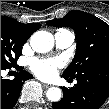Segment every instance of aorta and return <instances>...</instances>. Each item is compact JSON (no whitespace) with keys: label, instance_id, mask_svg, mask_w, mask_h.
Here are the masks:
<instances>
[{"label":"aorta","instance_id":"1","mask_svg":"<svg viewBox=\"0 0 109 109\" xmlns=\"http://www.w3.org/2000/svg\"><path fill=\"white\" fill-rule=\"evenodd\" d=\"M32 49L38 53L50 51L54 46L53 35L47 31H37L30 38ZM46 96L51 102H58L61 99L62 91L58 87H51L47 90Z\"/></svg>","mask_w":109,"mask_h":109}]
</instances>
